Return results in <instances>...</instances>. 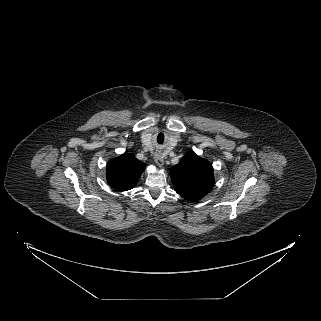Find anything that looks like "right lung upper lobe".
<instances>
[{
  "label": "right lung upper lobe",
  "mask_w": 321,
  "mask_h": 321,
  "mask_svg": "<svg viewBox=\"0 0 321 321\" xmlns=\"http://www.w3.org/2000/svg\"><path fill=\"white\" fill-rule=\"evenodd\" d=\"M106 169L109 185L117 191H127L137 184L145 169V164L133 155L125 153L111 159Z\"/></svg>",
  "instance_id": "obj_1"
}]
</instances>
